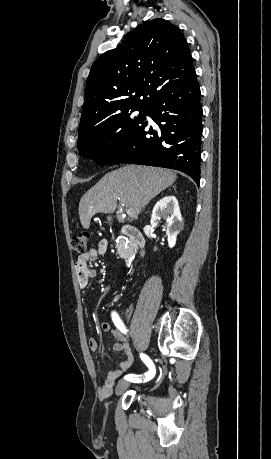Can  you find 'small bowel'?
<instances>
[{
  "label": "small bowel",
  "mask_w": 271,
  "mask_h": 459,
  "mask_svg": "<svg viewBox=\"0 0 271 459\" xmlns=\"http://www.w3.org/2000/svg\"><path fill=\"white\" fill-rule=\"evenodd\" d=\"M108 248V240L101 239L95 248H91L89 251L81 254L78 257L75 264V271L78 284L81 289L86 288L90 279L96 276V271L90 267L89 262L96 257L105 255L108 251ZM101 328L103 331H112V334L116 340L112 346V349L116 352L122 353L125 356V360L122 361L118 367L110 370L106 374L103 384L98 389L99 397L106 398L112 393L116 380L121 377L127 370H129L134 358L125 333H123L118 328L112 329L111 324L107 321L102 322ZM88 345L92 351H96L98 349V343L94 338H90L88 340Z\"/></svg>",
  "instance_id": "c3829d8e"
}]
</instances>
